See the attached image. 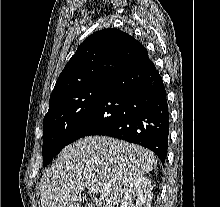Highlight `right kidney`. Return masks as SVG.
<instances>
[{"instance_id": "obj_1", "label": "right kidney", "mask_w": 220, "mask_h": 207, "mask_svg": "<svg viewBox=\"0 0 220 207\" xmlns=\"http://www.w3.org/2000/svg\"><path fill=\"white\" fill-rule=\"evenodd\" d=\"M152 190L148 177L136 178L125 191L120 207H151Z\"/></svg>"}]
</instances>
